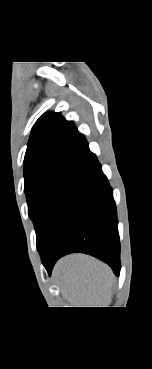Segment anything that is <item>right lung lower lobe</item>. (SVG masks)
I'll list each match as a JSON object with an SVG mask.
<instances>
[{
	"label": "right lung lower lobe",
	"mask_w": 152,
	"mask_h": 369,
	"mask_svg": "<svg viewBox=\"0 0 152 369\" xmlns=\"http://www.w3.org/2000/svg\"><path fill=\"white\" fill-rule=\"evenodd\" d=\"M112 188L91 153L74 173L38 245L48 274L63 255L83 252L120 272V242Z\"/></svg>",
	"instance_id": "1"
}]
</instances>
